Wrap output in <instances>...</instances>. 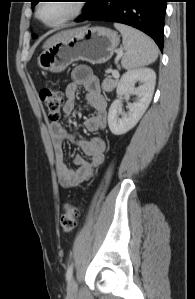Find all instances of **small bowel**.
<instances>
[{"instance_id":"small-bowel-1","label":"small bowel","mask_w":195,"mask_h":299,"mask_svg":"<svg viewBox=\"0 0 195 299\" xmlns=\"http://www.w3.org/2000/svg\"><path fill=\"white\" fill-rule=\"evenodd\" d=\"M72 80L66 85V101L63 107L65 116H70L76 108V93L79 87L86 92V103L95 110V114L84 121L88 132H96L106 127L107 124V101L101 89L99 79L88 67L78 66L71 74ZM52 142L56 156L57 174L64 188H74L88 181L94 170L104 161L107 148L106 141L101 137L88 140L78 139L76 134L69 131L62 122H51L49 125ZM66 141L76 143L83 153L89 157L86 161L81 155L74 156L77 169H71L65 162L63 145Z\"/></svg>"}]
</instances>
